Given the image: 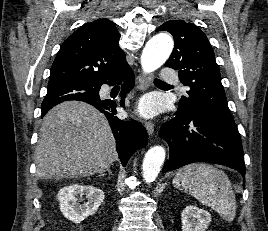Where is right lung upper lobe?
<instances>
[{
  "label": "right lung upper lobe",
  "instance_id": "cb5924a9",
  "mask_svg": "<svg viewBox=\"0 0 268 231\" xmlns=\"http://www.w3.org/2000/svg\"><path fill=\"white\" fill-rule=\"evenodd\" d=\"M119 39L115 23L108 19L83 25L62 44L48 84L79 82L98 87L109 81L128 64ZM58 103L43 102L41 109H51Z\"/></svg>",
  "mask_w": 268,
  "mask_h": 231
}]
</instances>
